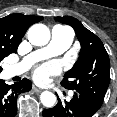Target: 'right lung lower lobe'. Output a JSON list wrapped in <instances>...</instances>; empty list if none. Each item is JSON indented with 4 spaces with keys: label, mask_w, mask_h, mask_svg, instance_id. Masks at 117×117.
<instances>
[{
    "label": "right lung lower lobe",
    "mask_w": 117,
    "mask_h": 117,
    "mask_svg": "<svg viewBox=\"0 0 117 117\" xmlns=\"http://www.w3.org/2000/svg\"><path fill=\"white\" fill-rule=\"evenodd\" d=\"M31 88L32 84L26 78L13 85H7L3 80H0V117H15L18 95L31 90Z\"/></svg>",
    "instance_id": "right-lung-lower-lobe-1"
}]
</instances>
